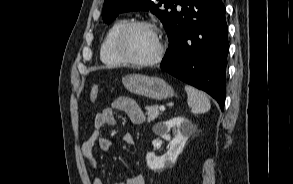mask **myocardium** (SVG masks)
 <instances>
[{
  "instance_id": "1",
  "label": "myocardium",
  "mask_w": 293,
  "mask_h": 184,
  "mask_svg": "<svg viewBox=\"0 0 293 184\" xmlns=\"http://www.w3.org/2000/svg\"><path fill=\"white\" fill-rule=\"evenodd\" d=\"M136 27H146L153 31V33L156 35L157 41H158V50L154 57L148 60H136L131 57H129L123 50L122 44L124 37L126 34ZM113 48L114 52L117 55V57L123 62L135 66H153L157 63H159L166 52V44L163 38V35L160 31V29L152 22L146 21V20H132L128 21L125 25H123L119 31L117 32L114 41H113Z\"/></svg>"
}]
</instances>
